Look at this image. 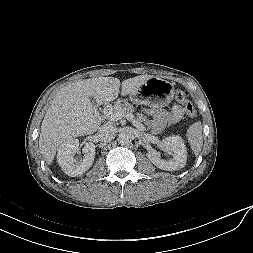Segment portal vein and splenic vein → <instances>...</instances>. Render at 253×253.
Instances as JSON below:
<instances>
[{
    "mask_svg": "<svg viewBox=\"0 0 253 253\" xmlns=\"http://www.w3.org/2000/svg\"><path fill=\"white\" fill-rule=\"evenodd\" d=\"M106 117L110 120V121H118L120 120L122 117H125L128 121H130L135 127L140 128L141 130H145L146 128L140 124L138 121L135 120V117L132 113H123L120 111H116V110H111L107 113Z\"/></svg>",
    "mask_w": 253,
    "mask_h": 253,
    "instance_id": "1",
    "label": "portal vein and splenic vein"
}]
</instances>
